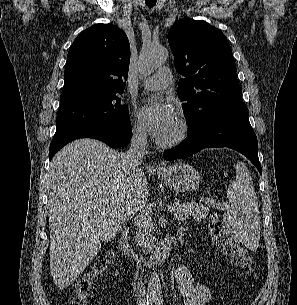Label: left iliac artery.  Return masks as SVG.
Wrapping results in <instances>:
<instances>
[{
	"label": "left iliac artery",
	"instance_id": "obj_1",
	"mask_svg": "<svg viewBox=\"0 0 297 305\" xmlns=\"http://www.w3.org/2000/svg\"><path fill=\"white\" fill-rule=\"evenodd\" d=\"M154 302H155V305H163V298H162V296L161 295H156Z\"/></svg>",
	"mask_w": 297,
	"mask_h": 305
}]
</instances>
